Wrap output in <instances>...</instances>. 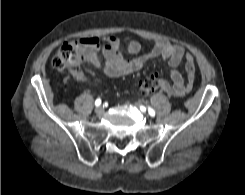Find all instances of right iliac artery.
Segmentation results:
<instances>
[{
  "label": "right iliac artery",
  "mask_w": 245,
  "mask_h": 195,
  "mask_svg": "<svg viewBox=\"0 0 245 195\" xmlns=\"http://www.w3.org/2000/svg\"><path fill=\"white\" fill-rule=\"evenodd\" d=\"M95 105H96L97 107L101 105V99H100V98L96 99Z\"/></svg>",
  "instance_id": "right-iliac-artery-1"
}]
</instances>
